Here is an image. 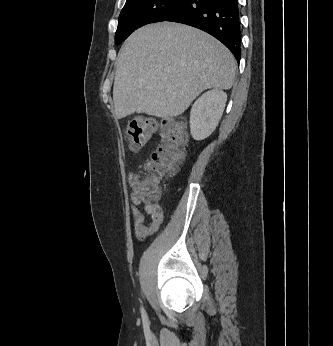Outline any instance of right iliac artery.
Wrapping results in <instances>:
<instances>
[{
	"label": "right iliac artery",
	"instance_id": "obj_1",
	"mask_svg": "<svg viewBox=\"0 0 333 346\" xmlns=\"http://www.w3.org/2000/svg\"><path fill=\"white\" fill-rule=\"evenodd\" d=\"M141 315H142L144 329L147 330L149 327V321L143 307L141 308Z\"/></svg>",
	"mask_w": 333,
	"mask_h": 346
}]
</instances>
